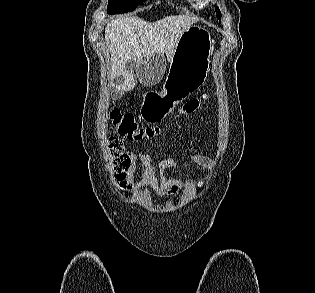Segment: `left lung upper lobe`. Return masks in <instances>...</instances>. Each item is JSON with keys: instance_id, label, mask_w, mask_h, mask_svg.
Returning a JSON list of instances; mask_svg holds the SVG:
<instances>
[{"instance_id": "left-lung-upper-lobe-1", "label": "left lung upper lobe", "mask_w": 315, "mask_h": 293, "mask_svg": "<svg viewBox=\"0 0 315 293\" xmlns=\"http://www.w3.org/2000/svg\"><path fill=\"white\" fill-rule=\"evenodd\" d=\"M215 11H216L217 18L220 20L221 19V12H220L219 8L216 7Z\"/></svg>"}]
</instances>
